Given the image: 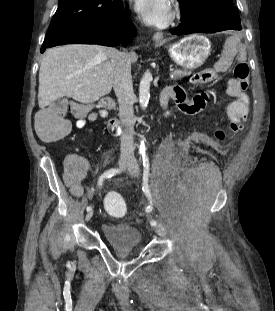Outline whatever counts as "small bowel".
<instances>
[{
    "label": "small bowel",
    "mask_w": 275,
    "mask_h": 311,
    "mask_svg": "<svg viewBox=\"0 0 275 311\" xmlns=\"http://www.w3.org/2000/svg\"><path fill=\"white\" fill-rule=\"evenodd\" d=\"M228 46H224L223 53L220 60H212V67L214 69H200L199 73H195L194 78L199 82H209L215 79L218 72H223L228 67H233V59H243L246 56L244 46H241V41H237L234 38H228L226 40ZM192 98L187 96L185 90L180 86H170L165 88L161 94V100L167 98V106L169 100H173L177 103L180 110L185 114H196L201 112L206 104L209 102L207 91H198L197 87L193 88ZM227 95L232 98V101L227 107V116L230 122V126H223L219 123L216 131L212 133L214 143H227L229 133H240L242 122L247 117L249 98L244 90L241 89L240 83L237 79H231L227 86ZM107 112L105 110H98L90 112L89 114L82 113L76 121V127L79 129L84 128L87 122H94L98 118H105ZM65 157L67 160H62L61 174L63 180H66V185L70 189V192L80 197L83 194V186L79 180H85L88 163L80 155H76L75 150H65Z\"/></svg>",
    "instance_id": "small-bowel-1"
}]
</instances>
